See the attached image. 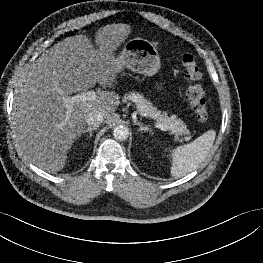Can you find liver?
I'll use <instances>...</instances> for the list:
<instances>
[{
	"label": "liver",
	"mask_w": 263,
	"mask_h": 263,
	"mask_svg": "<svg viewBox=\"0 0 263 263\" xmlns=\"http://www.w3.org/2000/svg\"><path fill=\"white\" fill-rule=\"evenodd\" d=\"M130 33L127 24L106 25L95 34L97 49L85 35L68 37L44 52L26 73L15 91L12 129L16 147L32 164L49 173L62 170L87 114L98 110L106 123L113 119L120 104L115 91H99L94 100L71 104L67 120L65 98L96 83L113 88L119 72L114 51Z\"/></svg>",
	"instance_id": "1"
}]
</instances>
